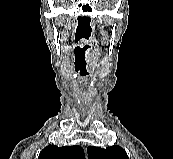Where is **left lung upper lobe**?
Segmentation results:
<instances>
[{"label": "left lung upper lobe", "mask_w": 173, "mask_h": 159, "mask_svg": "<svg viewBox=\"0 0 173 159\" xmlns=\"http://www.w3.org/2000/svg\"><path fill=\"white\" fill-rule=\"evenodd\" d=\"M87 152L88 159H129L126 151L117 145L107 147L106 149L89 146Z\"/></svg>", "instance_id": "obj_1"}]
</instances>
